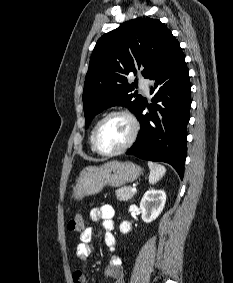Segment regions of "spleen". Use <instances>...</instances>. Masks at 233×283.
Masks as SVG:
<instances>
[{"label":"spleen","mask_w":233,"mask_h":283,"mask_svg":"<svg viewBox=\"0 0 233 283\" xmlns=\"http://www.w3.org/2000/svg\"><path fill=\"white\" fill-rule=\"evenodd\" d=\"M148 166L150 169L149 184L157 183L165 174L166 168L163 165L149 161Z\"/></svg>","instance_id":"obj_1"}]
</instances>
